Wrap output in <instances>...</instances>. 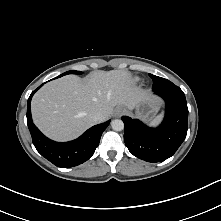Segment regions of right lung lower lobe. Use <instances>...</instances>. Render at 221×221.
<instances>
[{
  "instance_id": "98d812e1",
  "label": "right lung lower lobe",
  "mask_w": 221,
  "mask_h": 221,
  "mask_svg": "<svg viewBox=\"0 0 221 221\" xmlns=\"http://www.w3.org/2000/svg\"><path fill=\"white\" fill-rule=\"evenodd\" d=\"M41 86L31 93L27 102V125L35 148L44 158L57 167L68 168L82 164L94 154L100 142L101 135L110 121L91 127L82 136L73 141L58 143L48 139L34 125L31 118V99L33 94Z\"/></svg>"
}]
</instances>
